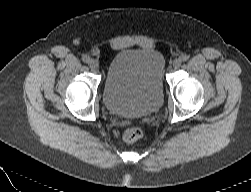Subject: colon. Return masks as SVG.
<instances>
[{"instance_id":"colon-1","label":"colon","mask_w":251,"mask_h":192,"mask_svg":"<svg viewBox=\"0 0 251 192\" xmlns=\"http://www.w3.org/2000/svg\"><path fill=\"white\" fill-rule=\"evenodd\" d=\"M143 136V131L142 129L137 126H129L127 127L124 132H123V139L127 143H133L139 140Z\"/></svg>"}]
</instances>
